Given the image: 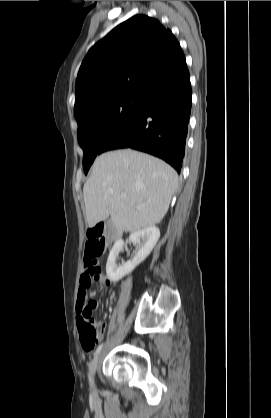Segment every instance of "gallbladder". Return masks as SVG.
<instances>
[{"mask_svg": "<svg viewBox=\"0 0 271 418\" xmlns=\"http://www.w3.org/2000/svg\"><path fill=\"white\" fill-rule=\"evenodd\" d=\"M106 232L108 235L115 237H118V235L120 234V231L116 230L110 219L106 222Z\"/></svg>", "mask_w": 271, "mask_h": 418, "instance_id": "1", "label": "gallbladder"}]
</instances>
